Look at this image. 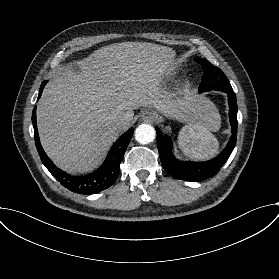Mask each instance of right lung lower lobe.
Returning a JSON list of instances; mask_svg holds the SVG:
<instances>
[{
	"mask_svg": "<svg viewBox=\"0 0 279 279\" xmlns=\"http://www.w3.org/2000/svg\"><path fill=\"white\" fill-rule=\"evenodd\" d=\"M45 84L46 81H44L40 87L38 99L41 96ZM32 123L35 133L36 148L43 164L63 186L72 192L84 195L101 192L113 185L118 177L120 163L134 132V129L130 128L114 143L106 160L99 169L84 176H71L57 168L44 152L38 136L36 107L33 109Z\"/></svg>",
	"mask_w": 279,
	"mask_h": 279,
	"instance_id": "right-lung-lower-lobe-1",
	"label": "right lung lower lobe"
}]
</instances>
